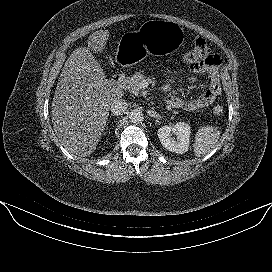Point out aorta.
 <instances>
[{"label":"aorta","instance_id":"762f6f07","mask_svg":"<svg viewBox=\"0 0 272 272\" xmlns=\"http://www.w3.org/2000/svg\"><path fill=\"white\" fill-rule=\"evenodd\" d=\"M129 119L132 123L138 124L143 121L144 117L140 110L134 109L129 113Z\"/></svg>","mask_w":272,"mask_h":272}]
</instances>
